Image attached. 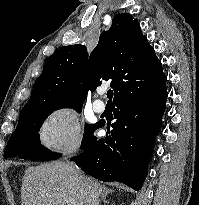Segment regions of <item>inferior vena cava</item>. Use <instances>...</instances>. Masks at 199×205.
I'll list each match as a JSON object with an SVG mask.
<instances>
[{
  "label": "inferior vena cava",
  "instance_id": "obj_1",
  "mask_svg": "<svg viewBox=\"0 0 199 205\" xmlns=\"http://www.w3.org/2000/svg\"><path fill=\"white\" fill-rule=\"evenodd\" d=\"M70 165L76 172H79V169L77 168V166L74 163H71Z\"/></svg>",
  "mask_w": 199,
  "mask_h": 205
}]
</instances>
